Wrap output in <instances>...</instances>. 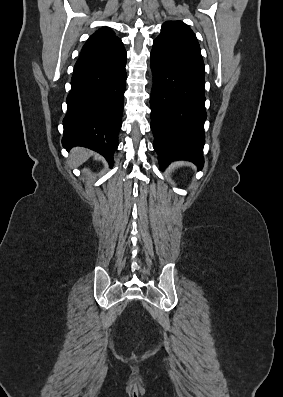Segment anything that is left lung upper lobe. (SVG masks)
<instances>
[{
	"label": "left lung upper lobe",
	"instance_id": "1",
	"mask_svg": "<svg viewBox=\"0 0 283 397\" xmlns=\"http://www.w3.org/2000/svg\"><path fill=\"white\" fill-rule=\"evenodd\" d=\"M154 43L205 73L200 46L193 31L181 21H167Z\"/></svg>",
	"mask_w": 283,
	"mask_h": 397
}]
</instances>
